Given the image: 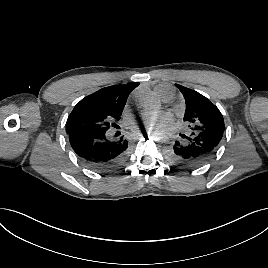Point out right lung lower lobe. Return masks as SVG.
Instances as JSON below:
<instances>
[{"instance_id":"98d812e1","label":"right lung lower lobe","mask_w":268,"mask_h":268,"mask_svg":"<svg viewBox=\"0 0 268 268\" xmlns=\"http://www.w3.org/2000/svg\"><path fill=\"white\" fill-rule=\"evenodd\" d=\"M69 141L78 158L89 168L108 172L119 167L126 155L128 141L123 137L111 139L107 132L68 133Z\"/></svg>"}]
</instances>
